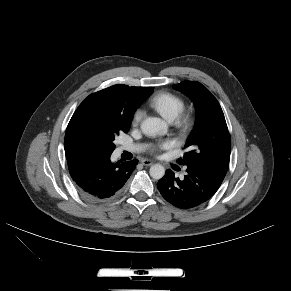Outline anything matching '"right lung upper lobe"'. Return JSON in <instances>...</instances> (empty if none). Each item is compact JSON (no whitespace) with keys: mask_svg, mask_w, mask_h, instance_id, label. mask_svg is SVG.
Here are the masks:
<instances>
[{"mask_svg":"<svg viewBox=\"0 0 291 291\" xmlns=\"http://www.w3.org/2000/svg\"><path fill=\"white\" fill-rule=\"evenodd\" d=\"M152 90V87L114 85L91 94L77 109L117 117L131 122L134 112ZM64 143L67 159L79 153L71 149L65 141Z\"/></svg>","mask_w":291,"mask_h":291,"instance_id":"obj_1","label":"right lung upper lobe"}]
</instances>
